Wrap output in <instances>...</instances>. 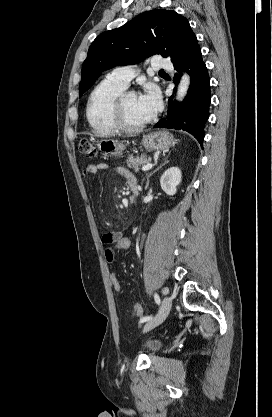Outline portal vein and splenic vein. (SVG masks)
Returning a JSON list of instances; mask_svg holds the SVG:
<instances>
[{
	"instance_id": "1",
	"label": "portal vein and splenic vein",
	"mask_w": 272,
	"mask_h": 417,
	"mask_svg": "<svg viewBox=\"0 0 272 417\" xmlns=\"http://www.w3.org/2000/svg\"><path fill=\"white\" fill-rule=\"evenodd\" d=\"M152 167H153V164H147V165H144V166L142 167V170H143V171H147V170H150Z\"/></svg>"
}]
</instances>
